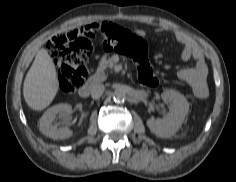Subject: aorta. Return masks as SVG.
I'll list each match as a JSON object with an SVG mask.
<instances>
[{"label": "aorta", "mask_w": 236, "mask_h": 182, "mask_svg": "<svg viewBox=\"0 0 236 182\" xmlns=\"http://www.w3.org/2000/svg\"><path fill=\"white\" fill-rule=\"evenodd\" d=\"M113 99L116 102H123L126 99V93L123 89H116L113 94Z\"/></svg>", "instance_id": "1"}]
</instances>
